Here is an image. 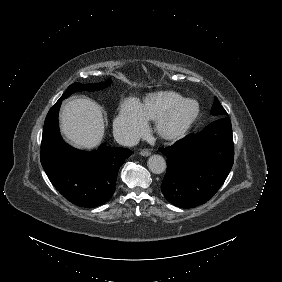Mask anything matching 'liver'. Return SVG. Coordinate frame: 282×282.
<instances>
[{
    "mask_svg": "<svg viewBox=\"0 0 282 282\" xmlns=\"http://www.w3.org/2000/svg\"><path fill=\"white\" fill-rule=\"evenodd\" d=\"M59 127L63 137L85 150L98 148L105 133L101 107L87 98H75L61 108Z\"/></svg>",
    "mask_w": 282,
    "mask_h": 282,
    "instance_id": "6515ba94",
    "label": "liver"
}]
</instances>
